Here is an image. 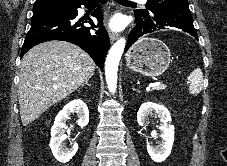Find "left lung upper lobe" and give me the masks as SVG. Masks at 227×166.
I'll return each instance as SVG.
<instances>
[{
  "label": "left lung upper lobe",
  "instance_id": "1",
  "mask_svg": "<svg viewBox=\"0 0 227 166\" xmlns=\"http://www.w3.org/2000/svg\"><path fill=\"white\" fill-rule=\"evenodd\" d=\"M152 2H157V1H165V2H173V1H188V0H150ZM147 6H146V9H143V10H138L139 12H147Z\"/></svg>",
  "mask_w": 227,
  "mask_h": 166
}]
</instances>
